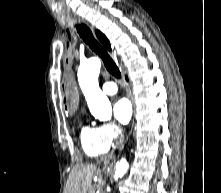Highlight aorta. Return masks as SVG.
<instances>
[{"label":"aorta","instance_id":"1","mask_svg":"<svg viewBox=\"0 0 221 193\" xmlns=\"http://www.w3.org/2000/svg\"><path fill=\"white\" fill-rule=\"evenodd\" d=\"M101 69V61L90 58L79 66L78 81L86 98L91 114L101 121L109 120L112 116V107L107 96L101 91L98 77ZM129 164L125 158L117 162L115 179L121 178L127 172Z\"/></svg>","mask_w":221,"mask_h":193}]
</instances>
